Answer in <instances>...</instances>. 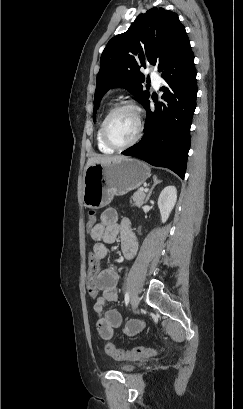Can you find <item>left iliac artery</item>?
I'll list each match as a JSON object with an SVG mask.
<instances>
[{
    "instance_id": "obj_1",
    "label": "left iliac artery",
    "mask_w": 243,
    "mask_h": 409,
    "mask_svg": "<svg viewBox=\"0 0 243 409\" xmlns=\"http://www.w3.org/2000/svg\"><path fill=\"white\" fill-rule=\"evenodd\" d=\"M124 301H125V305L127 306L128 303H129V292H126V293H125Z\"/></svg>"
}]
</instances>
